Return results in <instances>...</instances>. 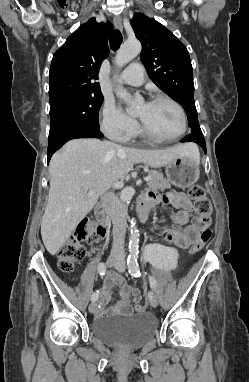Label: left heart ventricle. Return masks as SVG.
Returning a JSON list of instances; mask_svg holds the SVG:
<instances>
[{"label": "left heart ventricle", "mask_w": 249, "mask_h": 382, "mask_svg": "<svg viewBox=\"0 0 249 382\" xmlns=\"http://www.w3.org/2000/svg\"><path fill=\"white\" fill-rule=\"evenodd\" d=\"M136 115L156 135L165 138L181 131V118L176 108L168 102L142 104Z\"/></svg>", "instance_id": "obj_1"}]
</instances>
